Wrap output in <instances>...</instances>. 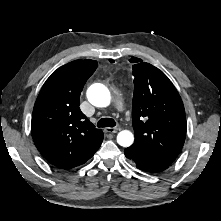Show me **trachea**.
I'll list each match as a JSON object with an SVG mask.
<instances>
[{"instance_id": "obj_1", "label": "trachea", "mask_w": 221, "mask_h": 221, "mask_svg": "<svg viewBox=\"0 0 221 221\" xmlns=\"http://www.w3.org/2000/svg\"><path fill=\"white\" fill-rule=\"evenodd\" d=\"M115 125L116 122L111 118H101L97 123V127H114Z\"/></svg>"}]
</instances>
